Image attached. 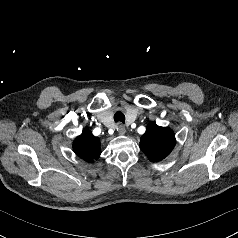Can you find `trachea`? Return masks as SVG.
I'll return each mask as SVG.
<instances>
[{
	"label": "trachea",
	"instance_id": "1",
	"mask_svg": "<svg viewBox=\"0 0 238 238\" xmlns=\"http://www.w3.org/2000/svg\"><path fill=\"white\" fill-rule=\"evenodd\" d=\"M114 121L115 122H121V123H125V115L121 112V111H117L114 114Z\"/></svg>",
	"mask_w": 238,
	"mask_h": 238
}]
</instances>
